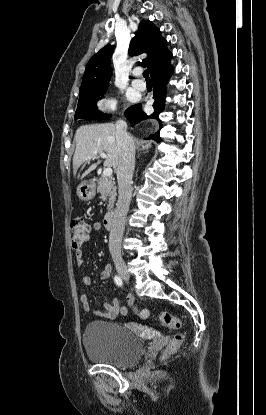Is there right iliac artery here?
<instances>
[{
    "label": "right iliac artery",
    "instance_id": "obj_1",
    "mask_svg": "<svg viewBox=\"0 0 266 415\" xmlns=\"http://www.w3.org/2000/svg\"><path fill=\"white\" fill-rule=\"evenodd\" d=\"M114 281H115L116 285H118V286H122V284H123L122 279L118 275H116L114 277Z\"/></svg>",
    "mask_w": 266,
    "mask_h": 415
}]
</instances>
